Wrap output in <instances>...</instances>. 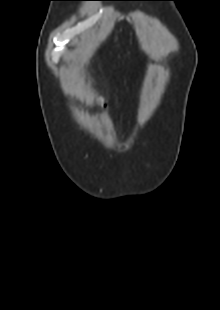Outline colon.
Masks as SVG:
<instances>
[{
  "mask_svg": "<svg viewBox=\"0 0 220 310\" xmlns=\"http://www.w3.org/2000/svg\"><path fill=\"white\" fill-rule=\"evenodd\" d=\"M93 102H94L95 104H97V105L105 106V102H104L102 99H100V98H95V99L93 100Z\"/></svg>",
  "mask_w": 220,
  "mask_h": 310,
  "instance_id": "obj_1",
  "label": "colon"
}]
</instances>
